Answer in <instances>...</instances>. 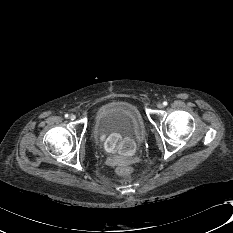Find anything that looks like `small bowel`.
<instances>
[{
	"label": "small bowel",
	"instance_id": "obj_1",
	"mask_svg": "<svg viewBox=\"0 0 233 233\" xmlns=\"http://www.w3.org/2000/svg\"><path fill=\"white\" fill-rule=\"evenodd\" d=\"M98 145L103 150H115L122 157H129L134 152V143L122 133H103L98 138Z\"/></svg>",
	"mask_w": 233,
	"mask_h": 233
}]
</instances>
